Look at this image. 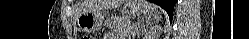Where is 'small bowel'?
<instances>
[{
  "mask_svg": "<svg viewBox=\"0 0 249 39\" xmlns=\"http://www.w3.org/2000/svg\"><path fill=\"white\" fill-rule=\"evenodd\" d=\"M104 39H114V37H113L112 34L108 33V34L104 37Z\"/></svg>",
  "mask_w": 249,
  "mask_h": 39,
  "instance_id": "small-bowel-1",
  "label": "small bowel"
}]
</instances>
